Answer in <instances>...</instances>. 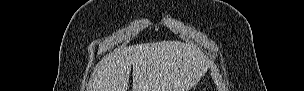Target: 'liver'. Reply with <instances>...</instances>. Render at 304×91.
Instances as JSON below:
<instances>
[{"instance_id": "liver-1", "label": "liver", "mask_w": 304, "mask_h": 91, "mask_svg": "<svg viewBox=\"0 0 304 91\" xmlns=\"http://www.w3.org/2000/svg\"><path fill=\"white\" fill-rule=\"evenodd\" d=\"M189 91L206 72L207 59L194 46L161 41L120 48L95 68L89 91Z\"/></svg>"}]
</instances>
